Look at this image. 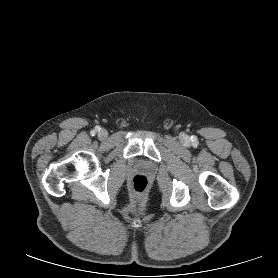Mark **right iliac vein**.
<instances>
[{
    "mask_svg": "<svg viewBox=\"0 0 278 278\" xmlns=\"http://www.w3.org/2000/svg\"><path fill=\"white\" fill-rule=\"evenodd\" d=\"M98 136L100 139H106L108 136V132L105 129H102L98 132Z\"/></svg>",
    "mask_w": 278,
    "mask_h": 278,
    "instance_id": "right-iliac-vein-1",
    "label": "right iliac vein"
}]
</instances>
